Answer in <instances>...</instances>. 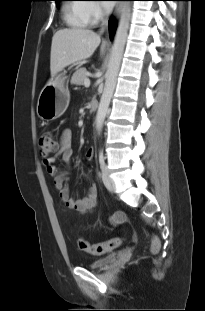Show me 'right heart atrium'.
Wrapping results in <instances>:
<instances>
[{
    "label": "right heart atrium",
    "instance_id": "right-heart-atrium-1",
    "mask_svg": "<svg viewBox=\"0 0 205 311\" xmlns=\"http://www.w3.org/2000/svg\"><path fill=\"white\" fill-rule=\"evenodd\" d=\"M90 22L95 23L105 15L104 9L97 3H90L85 6Z\"/></svg>",
    "mask_w": 205,
    "mask_h": 311
}]
</instances>
